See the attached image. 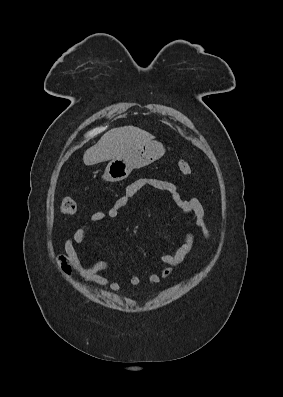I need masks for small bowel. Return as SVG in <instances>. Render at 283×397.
<instances>
[{"instance_id":"obj_1","label":"small bowel","mask_w":283,"mask_h":397,"mask_svg":"<svg viewBox=\"0 0 283 397\" xmlns=\"http://www.w3.org/2000/svg\"><path fill=\"white\" fill-rule=\"evenodd\" d=\"M145 187L168 192L179 210L188 217L193 218L195 220V225L200 229L203 237L209 239V230L205 222L204 208L197 199H184L178 187L170 181L150 177L138 178L127 186L125 193L119 197L108 210L92 214L85 223L75 230L70 238L66 239L64 250L73 269L82 278L84 283H96L101 286H108L115 292L121 290V285L116 280L102 273L109 268V262L101 260L85 268L79 260L76 246H82L84 244L86 231L91 224L97 222H104L105 224L110 223L119 216L121 210L128 204L129 200ZM193 244L194 234L192 226L189 225L184 234L182 244L172 254L162 255L160 257L165 267L159 273L150 274L147 278V284L149 286H155L158 285L162 279L169 278L174 268L184 261L187 254L191 251ZM129 281L133 286H139L141 284V279L137 275H132Z\"/></svg>"}]
</instances>
